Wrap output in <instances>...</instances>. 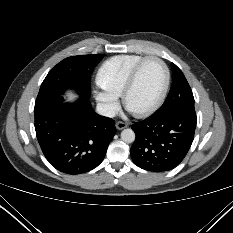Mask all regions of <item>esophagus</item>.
Listing matches in <instances>:
<instances>
[{
  "label": "esophagus",
  "mask_w": 233,
  "mask_h": 233,
  "mask_svg": "<svg viewBox=\"0 0 233 233\" xmlns=\"http://www.w3.org/2000/svg\"><path fill=\"white\" fill-rule=\"evenodd\" d=\"M126 127H127V124L125 122L119 121V122L116 123V128L118 130H122V129L126 128Z\"/></svg>",
  "instance_id": "1"
}]
</instances>
